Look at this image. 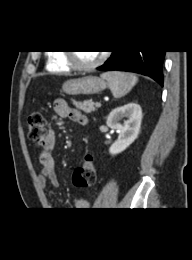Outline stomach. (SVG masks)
<instances>
[{
    "label": "stomach",
    "mask_w": 192,
    "mask_h": 260,
    "mask_svg": "<svg viewBox=\"0 0 192 260\" xmlns=\"http://www.w3.org/2000/svg\"><path fill=\"white\" fill-rule=\"evenodd\" d=\"M107 83L96 76H84L63 83L62 91L68 95H93L106 89Z\"/></svg>",
    "instance_id": "obj_1"
}]
</instances>
